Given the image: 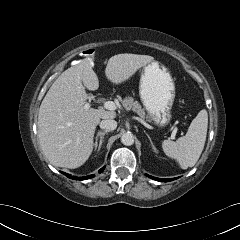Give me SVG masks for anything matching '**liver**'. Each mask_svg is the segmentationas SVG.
Wrapping results in <instances>:
<instances>
[{
  "mask_svg": "<svg viewBox=\"0 0 240 240\" xmlns=\"http://www.w3.org/2000/svg\"><path fill=\"white\" fill-rule=\"evenodd\" d=\"M152 61L149 55H114L108 60L105 75L110 82L120 84ZM98 87L93 62L84 59L65 70L44 97L38 114V137L44 155L54 166L74 169L83 165L92 153L100 120L115 118L113 111L84 108L88 98L85 88Z\"/></svg>",
  "mask_w": 240,
  "mask_h": 240,
  "instance_id": "liver-1",
  "label": "liver"
}]
</instances>
